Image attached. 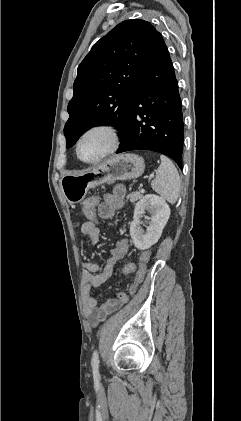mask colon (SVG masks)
Wrapping results in <instances>:
<instances>
[{"instance_id":"1","label":"colon","mask_w":241,"mask_h":421,"mask_svg":"<svg viewBox=\"0 0 241 421\" xmlns=\"http://www.w3.org/2000/svg\"><path fill=\"white\" fill-rule=\"evenodd\" d=\"M100 199L97 196L90 197L85 200L82 206V212L84 216L87 218L88 221L94 222L98 225V218L96 215V208L99 205ZM151 257L150 250L144 251L140 257L139 262L135 265L132 262H123L121 264V272L124 275H131L135 274L134 284L131 287V291L135 289V287L142 282L146 273V265L149 262Z\"/></svg>"}]
</instances>
